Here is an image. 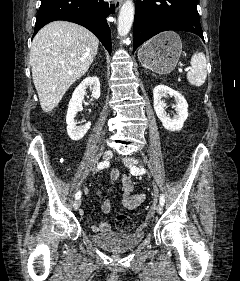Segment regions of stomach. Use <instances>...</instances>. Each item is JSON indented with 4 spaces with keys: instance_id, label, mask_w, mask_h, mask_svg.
Segmentation results:
<instances>
[{
    "instance_id": "stomach-1",
    "label": "stomach",
    "mask_w": 240,
    "mask_h": 281,
    "mask_svg": "<svg viewBox=\"0 0 240 281\" xmlns=\"http://www.w3.org/2000/svg\"><path fill=\"white\" fill-rule=\"evenodd\" d=\"M181 52L180 37L168 31L146 42L140 48L138 58L143 67L159 74H168L176 67Z\"/></svg>"
}]
</instances>
